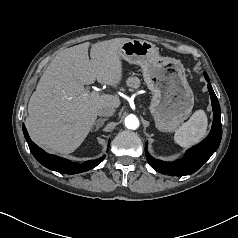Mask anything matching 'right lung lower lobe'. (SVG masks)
<instances>
[{
  "mask_svg": "<svg viewBox=\"0 0 238 238\" xmlns=\"http://www.w3.org/2000/svg\"><path fill=\"white\" fill-rule=\"evenodd\" d=\"M23 133L33 156L39 163L51 170L66 174H76L94 168L103 160V158H99L96 160L86 161L82 164L73 163L65 158L47 154L30 139L24 125Z\"/></svg>",
  "mask_w": 238,
  "mask_h": 238,
  "instance_id": "obj_1",
  "label": "right lung lower lobe"
}]
</instances>
